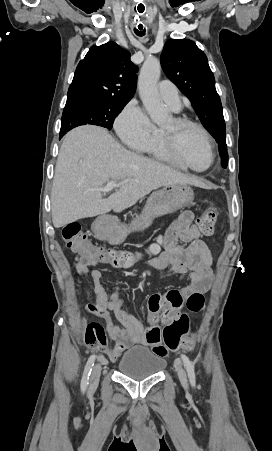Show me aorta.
Wrapping results in <instances>:
<instances>
[{"instance_id": "762f6f07", "label": "aorta", "mask_w": 272, "mask_h": 451, "mask_svg": "<svg viewBox=\"0 0 272 451\" xmlns=\"http://www.w3.org/2000/svg\"><path fill=\"white\" fill-rule=\"evenodd\" d=\"M161 64L158 58L148 56L139 76V96L154 124H164L167 114L164 112L165 104L159 98L157 84L160 78Z\"/></svg>"}]
</instances>
